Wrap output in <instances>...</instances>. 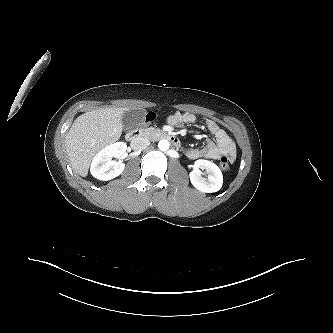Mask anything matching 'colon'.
Returning <instances> with one entry per match:
<instances>
[{"label": "colon", "mask_w": 333, "mask_h": 333, "mask_svg": "<svg viewBox=\"0 0 333 333\" xmlns=\"http://www.w3.org/2000/svg\"><path fill=\"white\" fill-rule=\"evenodd\" d=\"M156 119V114L153 111H147L144 122L146 124L153 122ZM220 168L224 171L228 170L230 167V160L228 157L224 156L220 159Z\"/></svg>", "instance_id": "obj_1"}]
</instances>
